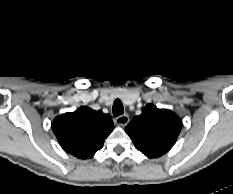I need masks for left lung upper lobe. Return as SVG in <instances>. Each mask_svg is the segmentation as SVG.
<instances>
[{"instance_id": "1", "label": "left lung upper lobe", "mask_w": 233, "mask_h": 194, "mask_svg": "<svg viewBox=\"0 0 233 194\" xmlns=\"http://www.w3.org/2000/svg\"><path fill=\"white\" fill-rule=\"evenodd\" d=\"M181 129L180 118L166 109L148 104L126 127L135 147L145 156L160 157L174 145Z\"/></svg>"}]
</instances>
